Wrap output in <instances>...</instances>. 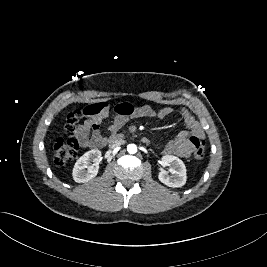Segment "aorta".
<instances>
[{"instance_id":"1","label":"aorta","mask_w":267,"mask_h":267,"mask_svg":"<svg viewBox=\"0 0 267 267\" xmlns=\"http://www.w3.org/2000/svg\"><path fill=\"white\" fill-rule=\"evenodd\" d=\"M127 151L130 154H135V153H137V146L135 144H129L127 146Z\"/></svg>"}]
</instances>
